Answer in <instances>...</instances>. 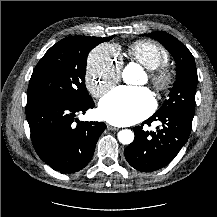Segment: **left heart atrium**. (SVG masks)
<instances>
[{
	"mask_svg": "<svg viewBox=\"0 0 217 217\" xmlns=\"http://www.w3.org/2000/svg\"><path fill=\"white\" fill-rule=\"evenodd\" d=\"M154 106V99L147 88L121 86L106 94L99 105L103 120L128 125L146 117Z\"/></svg>",
	"mask_w": 217,
	"mask_h": 217,
	"instance_id": "39dd6f15",
	"label": "left heart atrium"
}]
</instances>
